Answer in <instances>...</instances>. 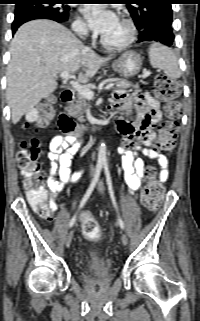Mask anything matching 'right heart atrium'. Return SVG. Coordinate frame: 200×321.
Here are the masks:
<instances>
[{
  "instance_id": "obj_1",
  "label": "right heart atrium",
  "mask_w": 200,
  "mask_h": 321,
  "mask_svg": "<svg viewBox=\"0 0 200 321\" xmlns=\"http://www.w3.org/2000/svg\"><path fill=\"white\" fill-rule=\"evenodd\" d=\"M73 31L81 38H85L89 35V30L85 22L77 17L72 24Z\"/></svg>"
}]
</instances>
